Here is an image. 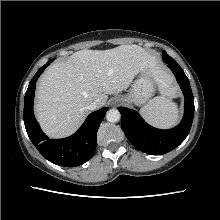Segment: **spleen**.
<instances>
[{"label":"spleen","instance_id":"obj_1","mask_svg":"<svg viewBox=\"0 0 220 220\" xmlns=\"http://www.w3.org/2000/svg\"><path fill=\"white\" fill-rule=\"evenodd\" d=\"M140 114L145 121L158 128H170L179 119L177 104L166 96L155 97L140 110Z\"/></svg>","mask_w":220,"mask_h":220}]
</instances>
